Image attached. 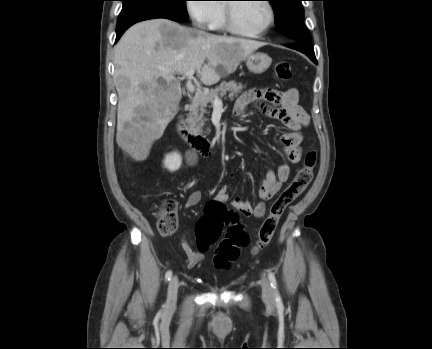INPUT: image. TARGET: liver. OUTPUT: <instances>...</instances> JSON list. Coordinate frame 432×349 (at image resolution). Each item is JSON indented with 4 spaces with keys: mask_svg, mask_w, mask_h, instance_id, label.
Listing matches in <instances>:
<instances>
[{
    "mask_svg": "<svg viewBox=\"0 0 432 349\" xmlns=\"http://www.w3.org/2000/svg\"><path fill=\"white\" fill-rule=\"evenodd\" d=\"M250 39L214 35L168 19L133 25L114 52L118 93L117 144L136 161L145 160L178 111L181 87L173 76L195 70L205 85L233 73L241 61L264 46ZM205 61H207L205 63ZM165 84H159L158 78Z\"/></svg>",
    "mask_w": 432,
    "mask_h": 349,
    "instance_id": "1",
    "label": "liver"
}]
</instances>
